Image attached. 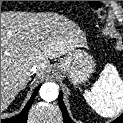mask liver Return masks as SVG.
<instances>
[{"label": "liver", "instance_id": "obj_1", "mask_svg": "<svg viewBox=\"0 0 123 123\" xmlns=\"http://www.w3.org/2000/svg\"><path fill=\"white\" fill-rule=\"evenodd\" d=\"M84 34L56 14L10 12L1 14V112L29 82L30 67L41 76L49 59L86 48Z\"/></svg>", "mask_w": 123, "mask_h": 123}]
</instances>
